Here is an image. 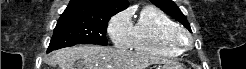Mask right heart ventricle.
Returning a JSON list of instances; mask_svg holds the SVG:
<instances>
[{"label":"right heart ventricle","instance_id":"e07e8e85","mask_svg":"<svg viewBox=\"0 0 246 69\" xmlns=\"http://www.w3.org/2000/svg\"><path fill=\"white\" fill-rule=\"evenodd\" d=\"M176 22L164 11L143 7L132 25L130 48L134 51L160 57H172L179 49L170 38Z\"/></svg>","mask_w":246,"mask_h":69}]
</instances>
